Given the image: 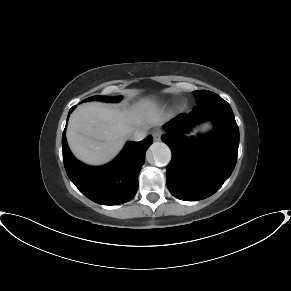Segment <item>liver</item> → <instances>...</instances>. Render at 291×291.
<instances>
[{
	"label": "liver",
	"mask_w": 291,
	"mask_h": 291,
	"mask_svg": "<svg viewBox=\"0 0 291 291\" xmlns=\"http://www.w3.org/2000/svg\"><path fill=\"white\" fill-rule=\"evenodd\" d=\"M169 117L149 99H143L130 108L86 103L72 113L66 137L79 160L101 165L119 153L134 131L162 125Z\"/></svg>",
	"instance_id": "1"
}]
</instances>
